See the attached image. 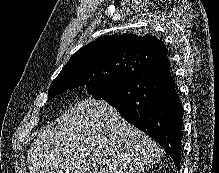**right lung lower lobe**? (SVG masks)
Here are the masks:
<instances>
[{"mask_svg":"<svg viewBox=\"0 0 219 173\" xmlns=\"http://www.w3.org/2000/svg\"><path fill=\"white\" fill-rule=\"evenodd\" d=\"M169 68L168 60L141 63L121 78L105 100L157 141L180 170L183 115Z\"/></svg>","mask_w":219,"mask_h":173,"instance_id":"98d812e1","label":"right lung lower lobe"}]
</instances>
